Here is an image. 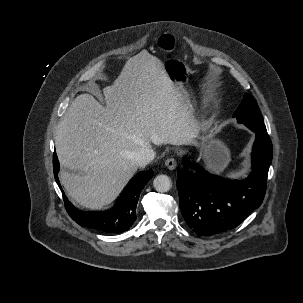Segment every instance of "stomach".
<instances>
[{"label":"stomach","instance_id":"1","mask_svg":"<svg viewBox=\"0 0 303 303\" xmlns=\"http://www.w3.org/2000/svg\"><path fill=\"white\" fill-rule=\"evenodd\" d=\"M164 69L169 78L177 87L185 91L184 84L188 81L190 74L189 67L181 60L169 58L163 62ZM198 131L202 129V124L195 121ZM200 153L207 167L221 173L230 162V151L228 147L219 139L205 137L200 144Z\"/></svg>","mask_w":303,"mask_h":303}]
</instances>
